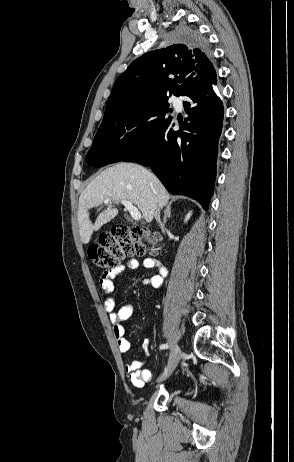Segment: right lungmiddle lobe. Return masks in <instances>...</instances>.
I'll return each instance as SVG.
<instances>
[{"label":"right lung middle lobe","mask_w":294,"mask_h":462,"mask_svg":"<svg viewBox=\"0 0 294 462\" xmlns=\"http://www.w3.org/2000/svg\"><path fill=\"white\" fill-rule=\"evenodd\" d=\"M176 37L190 46L208 48L206 39L194 29L182 27ZM168 112H171L168 97H164L146 100L104 117L86 161L98 158L101 166L122 161L171 119L165 118Z\"/></svg>","instance_id":"obj_1"}]
</instances>
